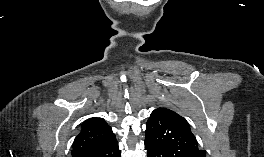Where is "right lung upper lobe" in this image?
<instances>
[{"mask_svg": "<svg viewBox=\"0 0 264 157\" xmlns=\"http://www.w3.org/2000/svg\"><path fill=\"white\" fill-rule=\"evenodd\" d=\"M115 138L111 127L102 119L92 117L85 120L71 150L72 157H82L86 153L101 148Z\"/></svg>", "mask_w": 264, "mask_h": 157, "instance_id": "right-lung-upper-lobe-1", "label": "right lung upper lobe"}]
</instances>
